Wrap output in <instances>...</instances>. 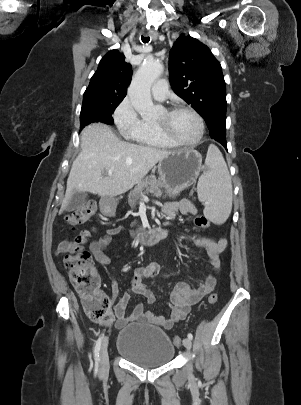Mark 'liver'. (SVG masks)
I'll return each instance as SVG.
<instances>
[{
  "instance_id": "liver-1",
  "label": "liver",
  "mask_w": 301,
  "mask_h": 405,
  "mask_svg": "<svg viewBox=\"0 0 301 405\" xmlns=\"http://www.w3.org/2000/svg\"><path fill=\"white\" fill-rule=\"evenodd\" d=\"M81 150L74 160L60 214L76 191L101 197L117 196L130 190L170 151L120 140L102 123L86 126L80 137ZM108 175L104 177L102 172Z\"/></svg>"
}]
</instances>
